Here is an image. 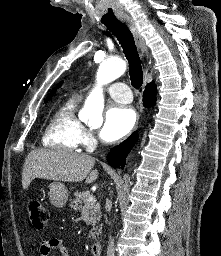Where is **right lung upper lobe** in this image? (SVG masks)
Instances as JSON below:
<instances>
[{
	"instance_id": "obj_1",
	"label": "right lung upper lobe",
	"mask_w": 221,
	"mask_h": 256,
	"mask_svg": "<svg viewBox=\"0 0 221 256\" xmlns=\"http://www.w3.org/2000/svg\"><path fill=\"white\" fill-rule=\"evenodd\" d=\"M61 84H62V82L59 84V86H61ZM152 85H155V84L152 82V83L148 84L147 86H152ZM147 86H146V87H147ZM56 89H57V88H55V89L50 93V95H53V94L55 93ZM50 95H49V96H50ZM49 96H48V97H49Z\"/></svg>"
}]
</instances>
